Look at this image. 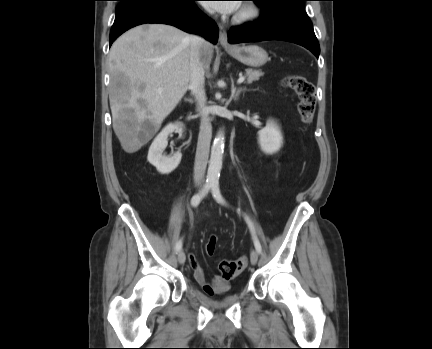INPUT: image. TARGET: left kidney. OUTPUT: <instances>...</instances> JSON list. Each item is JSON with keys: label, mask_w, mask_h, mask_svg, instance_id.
<instances>
[{"label": "left kidney", "mask_w": 432, "mask_h": 349, "mask_svg": "<svg viewBox=\"0 0 432 349\" xmlns=\"http://www.w3.org/2000/svg\"><path fill=\"white\" fill-rule=\"evenodd\" d=\"M258 142L265 154L272 155L280 150L283 136L273 120H268L266 126L258 132Z\"/></svg>", "instance_id": "obj_1"}]
</instances>
